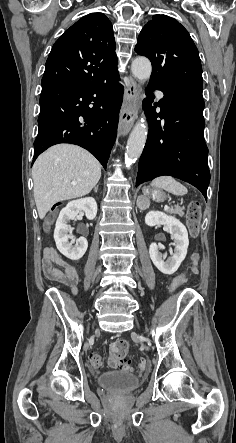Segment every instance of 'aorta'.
Returning a JSON list of instances; mask_svg holds the SVG:
<instances>
[{"instance_id":"obj_1","label":"aorta","mask_w":236,"mask_h":443,"mask_svg":"<svg viewBox=\"0 0 236 443\" xmlns=\"http://www.w3.org/2000/svg\"><path fill=\"white\" fill-rule=\"evenodd\" d=\"M131 71L140 81L147 80L152 71V66L146 57H137L133 60ZM147 139V126L144 119L137 122L127 141L125 160L135 162L141 155Z\"/></svg>"}]
</instances>
